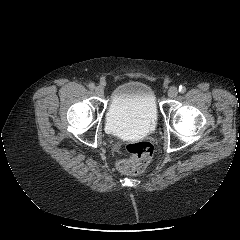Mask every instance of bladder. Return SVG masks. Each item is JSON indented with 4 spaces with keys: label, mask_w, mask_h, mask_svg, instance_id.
<instances>
[{
    "label": "bladder",
    "mask_w": 240,
    "mask_h": 240,
    "mask_svg": "<svg viewBox=\"0 0 240 240\" xmlns=\"http://www.w3.org/2000/svg\"><path fill=\"white\" fill-rule=\"evenodd\" d=\"M157 120L158 105L150 84L133 79L113 90L106 111V127L111 134L146 135L155 129Z\"/></svg>",
    "instance_id": "31cf9c89"
}]
</instances>
